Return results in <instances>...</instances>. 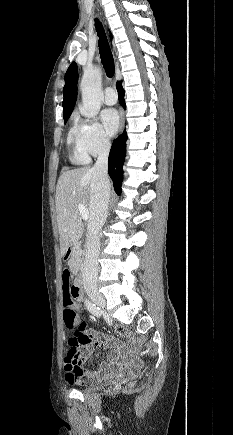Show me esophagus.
Here are the masks:
<instances>
[{
    "label": "esophagus",
    "mask_w": 233,
    "mask_h": 435,
    "mask_svg": "<svg viewBox=\"0 0 233 435\" xmlns=\"http://www.w3.org/2000/svg\"><path fill=\"white\" fill-rule=\"evenodd\" d=\"M124 125H125V119H124V111L121 110L120 111V128H119V132L122 133L123 129H124Z\"/></svg>",
    "instance_id": "34e87169"
}]
</instances>
